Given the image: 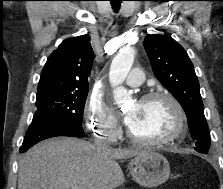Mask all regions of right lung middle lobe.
<instances>
[{
  "label": "right lung middle lobe",
  "mask_w": 223,
  "mask_h": 189,
  "mask_svg": "<svg viewBox=\"0 0 223 189\" xmlns=\"http://www.w3.org/2000/svg\"><path fill=\"white\" fill-rule=\"evenodd\" d=\"M88 89L37 93V110L33 118L56 120L83 130L82 116Z\"/></svg>",
  "instance_id": "obj_1"
}]
</instances>
